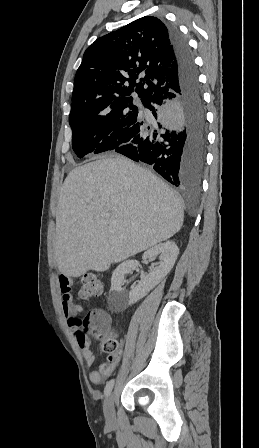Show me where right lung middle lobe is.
Returning a JSON list of instances; mask_svg holds the SVG:
<instances>
[{
	"mask_svg": "<svg viewBox=\"0 0 259 448\" xmlns=\"http://www.w3.org/2000/svg\"><path fill=\"white\" fill-rule=\"evenodd\" d=\"M140 114L137 105L84 111L71 114L72 148L79 158L94 152L113 150L123 132L134 124Z\"/></svg>",
	"mask_w": 259,
	"mask_h": 448,
	"instance_id": "right-lung-middle-lobe-1",
	"label": "right lung middle lobe"
}]
</instances>
